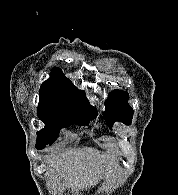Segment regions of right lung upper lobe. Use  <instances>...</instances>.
<instances>
[{"instance_id": "obj_1", "label": "right lung upper lobe", "mask_w": 178, "mask_h": 195, "mask_svg": "<svg viewBox=\"0 0 178 195\" xmlns=\"http://www.w3.org/2000/svg\"><path fill=\"white\" fill-rule=\"evenodd\" d=\"M51 78L43 82L39 90V104L45 105H90L85 93L77 89L74 84L64 76L59 68H54Z\"/></svg>"}]
</instances>
